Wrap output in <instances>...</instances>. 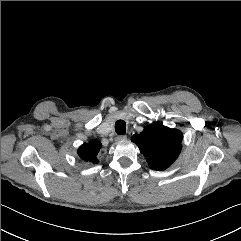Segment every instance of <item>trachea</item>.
Segmentation results:
<instances>
[{
	"label": "trachea",
	"mask_w": 241,
	"mask_h": 241,
	"mask_svg": "<svg viewBox=\"0 0 241 241\" xmlns=\"http://www.w3.org/2000/svg\"><path fill=\"white\" fill-rule=\"evenodd\" d=\"M115 131L119 135H123L126 132V123L123 120H118L115 123Z\"/></svg>",
	"instance_id": "trachea-1"
}]
</instances>
